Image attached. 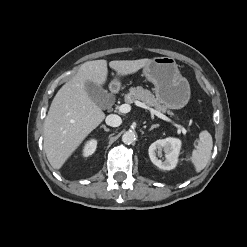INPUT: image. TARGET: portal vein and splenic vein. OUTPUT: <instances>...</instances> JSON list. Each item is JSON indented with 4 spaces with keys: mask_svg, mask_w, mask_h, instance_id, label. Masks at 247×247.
<instances>
[{
    "mask_svg": "<svg viewBox=\"0 0 247 247\" xmlns=\"http://www.w3.org/2000/svg\"><path fill=\"white\" fill-rule=\"evenodd\" d=\"M135 103L137 106L149 110L152 114L156 115L157 117H159V118H161L167 122L173 123L180 131H182L183 134H186L187 131L182 125L175 123L174 121H172L170 118H168L167 116H165L161 112L156 111L153 108H150L147 105H145L144 103H141L139 101H136ZM130 110H131V106L129 104H122L119 106V111L121 113H128V112H130Z\"/></svg>",
    "mask_w": 247,
    "mask_h": 247,
    "instance_id": "1",
    "label": "portal vein and splenic vein"
}]
</instances>
